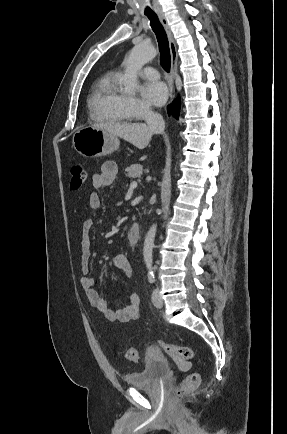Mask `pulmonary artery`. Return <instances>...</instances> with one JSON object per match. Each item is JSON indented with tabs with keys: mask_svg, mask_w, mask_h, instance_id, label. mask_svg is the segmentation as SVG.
<instances>
[{
	"mask_svg": "<svg viewBox=\"0 0 287 434\" xmlns=\"http://www.w3.org/2000/svg\"><path fill=\"white\" fill-rule=\"evenodd\" d=\"M140 76L146 79L156 80L159 78V73L154 68L145 67L140 71Z\"/></svg>",
	"mask_w": 287,
	"mask_h": 434,
	"instance_id": "pulmonary-artery-1",
	"label": "pulmonary artery"
}]
</instances>
